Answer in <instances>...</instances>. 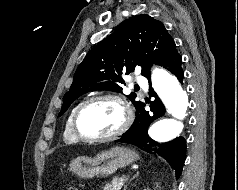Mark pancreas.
Wrapping results in <instances>:
<instances>
[{"instance_id":"1","label":"pancreas","mask_w":238,"mask_h":190,"mask_svg":"<svg viewBox=\"0 0 238 190\" xmlns=\"http://www.w3.org/2000/svg\"><path fill=\"white\" fill-rule=\"evenodd\" d=\"M125 180L121 181L120 178H114L111 184H107L103 187V190H121Z\"/></svg>"}]
</instances>
